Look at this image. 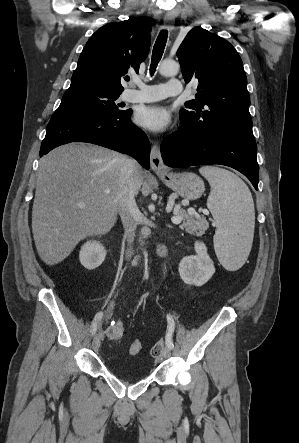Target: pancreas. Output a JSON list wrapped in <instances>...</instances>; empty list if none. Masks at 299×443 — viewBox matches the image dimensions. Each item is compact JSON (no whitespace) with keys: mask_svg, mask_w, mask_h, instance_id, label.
<instances>
[{"mask_svg":"<svg viewBox=\"0 0 299 443\" xmlns=\"http://www.w3.org/2000/svg\"><path fill=\"white\" fill-rule=\"evenodd\" d=\"M181 217L183 223L179 225L182 230L192 235L201 236L208 228V222L205 218L191 215L183 210H180L177 214Z\"/></svg>","mask_w":299,"mask_h":443,"instance_id":"obj_1","label":"pancreas"}]
</instances>
